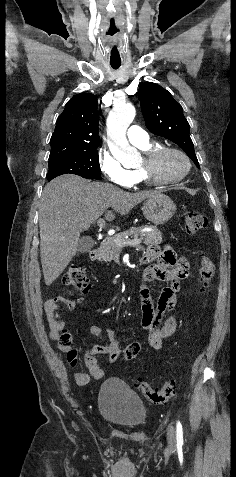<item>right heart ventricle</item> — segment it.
<instances>
[{
  "instance_id": "e07e8e85",
  "label": "right heart ventricle",
  "mask_w": 236,
  "mask_h": 477,
  "mask_svg": "<svg viewBox=\"0 0 236 477\" xmlns=\"http://www.w3.org/2000/svg\"><path fill=\"white\" fill-rule=\"evenodd\" d=\"M155 147H156V144L153 143V142H148L145 145L138 146V148L141 151H143L144 153L149 152L150 150H152ZM129 172H130V176H131V180H132V185H136V184H140L142 182H145V180L143 178V175L141 174V172L138 168L133 169V170H129Z\"/></svg>"
}]
</instances>
